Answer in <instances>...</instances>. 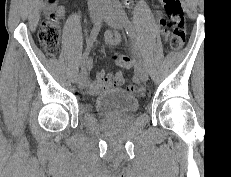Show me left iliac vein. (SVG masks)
I'll return each instance as SVG.
<instances>
[{
	"mask_svg": "<svg viewBox=\"0 0 231 177\" xmlns=\"http://www.w3.org/2000/svg\"><path fill=\"white\" fill-rule=\"evenodd\" d=\"M102 17L105 20V22L112 28L117 30H122L124 28V23L121 14L114 11L111 5L103 9ZM138 77L141 81H147L148 74L144 67L139 68Z\"/></svg>",
	"mask_w": 231,
	"mask_h": 177,
	"instance_id": "1",
	"label": "left iliac vein"
}]
</instances>
